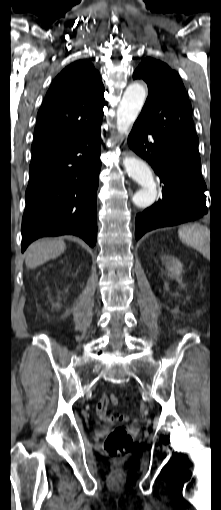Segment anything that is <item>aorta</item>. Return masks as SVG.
<instances>
[{"instance_id":"762f6f07","label":"aorta","mask_w":221,"mask_h":510,"mask_svg":"<svg viewBox=\"0 0 221 510\" xmlns=\"http://www.w3.org/2000/svg\"><path fill=\"white\" fill-rule=\"evenodd\" d=\"M145 88L139 83H133L125 90L117 110V129L127 133L137 119L146 99ZM123 165L128 176L140 186L132 197L133 203L139 208L152 205L157 196V187L150 167L142 159L125 157Z\"/></svg>"}]
</instances>
